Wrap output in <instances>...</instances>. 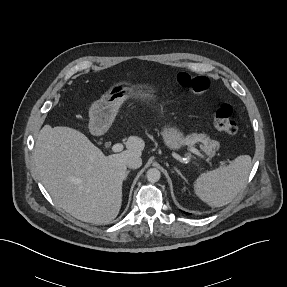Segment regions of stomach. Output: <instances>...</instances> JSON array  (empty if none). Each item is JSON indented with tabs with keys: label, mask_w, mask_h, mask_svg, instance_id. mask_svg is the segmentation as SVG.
<instances>
[{
	"label": "stomach",
	"mask_w": 287,
	"mask_h": 287,
	"mask_svg": "<svg viewBox=\"0 0 287 287\" xmlns=\"http://www.w3.org/2000/svg\"><path fill=\"white\" fill-rule=\"evenodd\" d=\"M152 85H134L129 82H119L97 100L89 110V127L95 133L106 131L112 124L122 104L129 98L146 103L156 101ZM161 135L164 143L170 149H179L184 143V133L176 127L164 126Z\"/></svg>",
	"instance_id": "1"
}]
</instances>
